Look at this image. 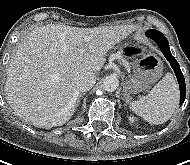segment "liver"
I'll return each mask as SVG.
<instances>
[{
  "mask_svg": "<svg viewBox=\"0 0 190 165\" xmlns=\"http://www.w3.org/2000/svg\"><path fill=\"white\" fill-rule=\"evenodd\" d=\"M135 29L132 25L79 28L64 24L35 28L9 61L4 86L7 102L35 126L63 125L75 111L77 76L99 72L108 51Z\"/></svg>",
  "mask_w": 190,
  "mask_h": 165,
  "instance_id": "liver-1",
  "label": "liver"
}]
</instances>
